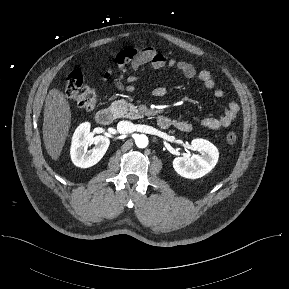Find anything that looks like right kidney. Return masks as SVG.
<instances>
[{
  "label": "right kidney",
  "instance_id": "ca27d5eb",
  "mask_svg": "<svg viewBox=\"0 0 289 289\" xmlns=\"http://www.w3.org/2000/svg\"><path fill=\"white\" fill-rule=\"evenodd\" d=\"M110 140L102 135L93 136L90 133V123L80 124L72 137L70 155L75 166L89 168L97 164L106 153ZM93 146L87 150L88 146Z\"/></svg>",
  "mask_w": 289,
  "mask_h": 289
}]
</instances>
